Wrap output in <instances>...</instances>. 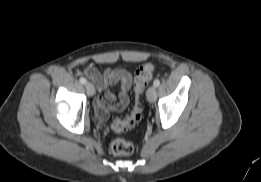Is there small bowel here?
<instances>
[{
  "instance_id": "c3829d8e",
  "label": "small bowel",
  "mask_w": 261,
  "mask_h": 182,
  "mask_svg": "<svg viewBox=\"0 0 261 182\" xmlns=\"http://www.w3.org/2000/svg\"><path fill=\"white\" fill-rule=\"evenodd\" d=\"M85 74L93 81L98 91L103 92V96L94 100L96 113L101 119H106L110 113H119L128 106L132 80L126 70L107 68L100 71L94 66H88ZM114 85H119L117 101L115 94L110 91V87Z\"/></svg>"
}]
</instances>
